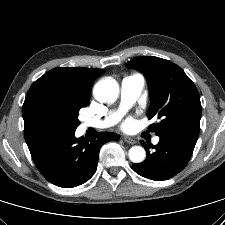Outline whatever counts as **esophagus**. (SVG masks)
I'll use <instances>...</instances> for the list:
<instances>
[{
    "label": "esophagus",
    "instance_id": "1",
    "mask_svg": "<svg viewBox=\"0 0 225 225\" xmlns=\"http://www.w3.org/2000/svg\"><path fill=\"white\" fill-rule=\"evenodd\" d=\"M123 139L128 144H132L133 145V144L136 143V140L134 138H132V137H129V136H125V137H123Z\"/></svg>",
    "mask_w": 225,
    "mask_h": 225
}]
</instances>
